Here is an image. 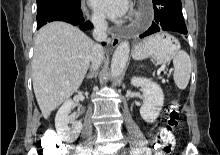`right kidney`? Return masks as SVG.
<instances>
[{"label":"right kidney","mask_w":220,"mask_h":155,"mask_svg":"<svg viewBox=\"0 0 220 155\" xmlns=\"http://www.w3.org/2000/svg\"><path fill=\"white\" fill-rule=\"evenodd\" d=\"M73 107L72 100H66L64 104L59 108L55 117V127L60 138L68 143L75 141L81 130L82 123L80 121H74L69 113ZM72 124V127H69Z\"/></svg>","instance_id":"obj_1"}]
</instances>
